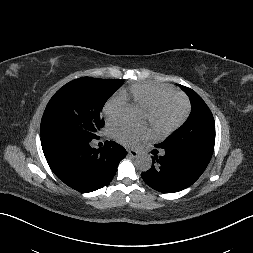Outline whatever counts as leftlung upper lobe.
Instances as JSON below:
<instances>
[{"instance_id": "1", "label": "left lung upper lobe", "mask_w": 253, "mask_h": 253, "mask_svg": "<svg viewBox=\"0 0 253 253\" xmlns=\"http://www.w3.org/2000/svg\"><path fill=\"white\" fill-rule=\"evenodd\" d=\"M191 101V113L186 123L172 133L157 148H176L192 152L210 161L215 143V121L204 100L192 89L180 86Z\"/></svg>"}]
</instances>
